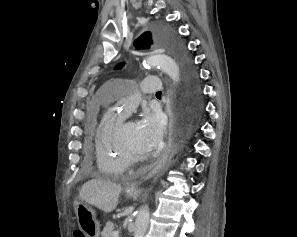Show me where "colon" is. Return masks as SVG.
Listing matches in <instances>:
<instances>
[{
	"mask_svg": "<svg viewBox=\"0 0 297 237\" xmlns=\"http://www.w3.org/2000/svg\"><path fill=\"white\" fill-rule=\"evenodd\" d=\"M74 237H85L81 232H75Z\"/></svg>",
	"mask_w": 297,
	"mask_h": 237,
	"instance_id": "colon-1",
	"label": "colon"
}]
</instances>
